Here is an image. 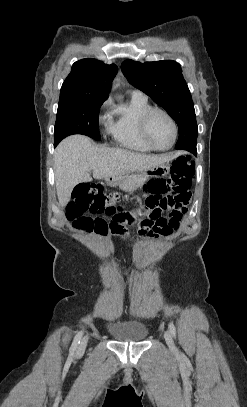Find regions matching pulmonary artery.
Returning a JSON list of instances; mask_svg holds the SVG:
<instances>
[{"mask_svg": "<svg viewBox=\"0 0 247 407\" xmlns=\"http://www.w3.org/2000/svg\"><path fill=\"white\" fill-rule=\"evenodd\" d=\"M132 96H134V97H140V98H146V96H145L142 92H140V91H133V92H132Z\"/></svg>", "mask_w": 247, "mask_h": 407, "instance_id": "e3ab8cb5", "label": "pulmonary artery"}]
</instances>
